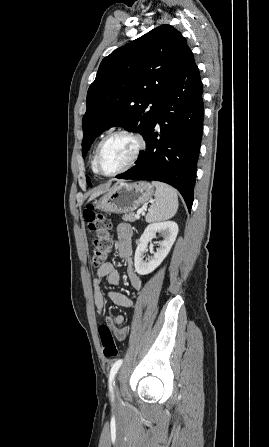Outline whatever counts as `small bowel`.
Listing matches in <instances>:
<instances>
[{
	"label": "small bowel",
	"instance_id": "c3829d8e",
	"mask_svg": "<svg viewBox=\"0 0 269 447\" xmlns=\"http://www.w3.org/2000/svg\"><path fill=\"white\" fill-rule=\"evenodd\" d=\"M132 230L129 225L121 224L116 229L115 237V251L117 255L125 261L128 270V276L131 286L135 290H141L143 288V282L138 277V275L132 269ZM106 279V281L111 285H118L121 281L120 274L117 271L113 263H105L100 266L93 278V288H94V303L97 311L101 313L104 309L105 298L108 297L116 306L131 308L134 305L132 299L123 293L115 291H103L101 289V282ZM108 326L111 329L120 326L124 322V316L122 314L109 317ZM127 336L126 328L119 327L115 330V337L117 340L122 341Z\"/></svg>",
	"mask_w": 269,
	"mask_h": 447
}]
</instances>
